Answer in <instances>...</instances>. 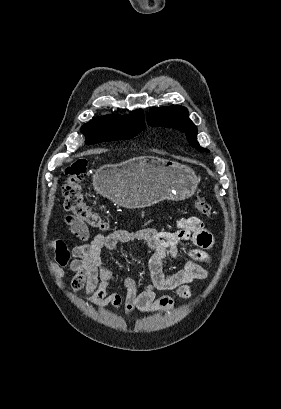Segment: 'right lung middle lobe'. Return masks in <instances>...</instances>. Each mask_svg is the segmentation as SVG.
Returning a JSON list of instances; mask_svg holds the SVG:
<instances>
[{
  "mask_svg": "<svg viewBox=\"0 0 281 409\" xmlns=\"http://www.w3.org/2000/svg\"><path fill=\"white\" fill-rule=\"evenodd\" d=\"M145 125L105 128V127H82V133L87 137L86 144H95L103 141L130 139L140 133Z\"/></svg>",
  "mask_w": 281,
  "mask_h": 409,
  "instance_id": "right-lung-middle-lobe-1",
  "label": "right lung middle lobe"
}]
</instances>
